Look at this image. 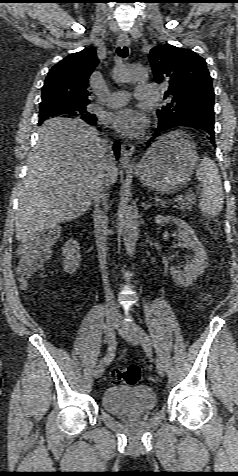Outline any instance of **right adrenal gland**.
Returning a JSON list of instances; mask_svg holds the SVG:
<instances>
[{
  "instance_id": "1",
  "label": "right adrenal gland",
  "mask_w": 238,
  "mask_h": 476,
  "mask_svg": "<svg viewBox=\"0 0 238 476\" xmlns=\"http://www.w3.org/2000/svg\"><path fill=\"white\" fill-rule=\"evenodd\" d=\"M107 199H108V194L104 193L102 197L100 198L102 204L104 205L105 208H107Z\"/></svg>"
}]
</instances>
